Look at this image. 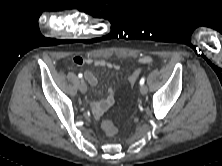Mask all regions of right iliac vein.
<instances>
[{
    "mask_svg": "<svg viewBox=\"0 0 222 166\" xmlns=\"http://www.w3.org/2000/svg\"><path fill=\"white\" fill-rule=\"evenodd\" d=\"M79 89L82 93H86L87 91V85L85 82H81L80 86H79Z\"/></svg>",
    "mask_w": 222,
    "mask_h": 166,
    "instance_id": "63e3f726",
    "label": "right iliac vein"
}]
</instances>
